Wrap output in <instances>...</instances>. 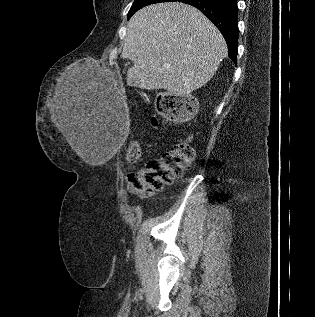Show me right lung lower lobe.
Wrapping results in <instances>:
<instances>
[{"instance_id":"obj_1","label":"right lung lower lobe","mask_w":315,"mask_h":317,"mask_svg":"<svg viewBox=\"0 0 315 317\" xmlns=\"http://www.w3.org/2000/svg\"><path fill=\"white\" fill-rule=\"evenodd\" d=\"M198 8L220 30L228 46L229 58L236 64L238 49V7L236 0H177Z\"/></svg>"}]
</instances>
